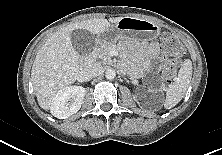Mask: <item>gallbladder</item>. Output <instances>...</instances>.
<instances>
[{
  "instance_id": "bac80fb5",
  "label": "gallbladder",
  "mask_w": 222,
  "mask_h": 155,
  "mask_svg": "<svg viewBox=\"0 0 222 155\" xmlns=\"http://www.w3.org/2000/svg\"><path fill=\"white\" fill-rule=\"evenodd\" d=\"M74 49L81 55L90 54L95 46L94 36L87 30L76 29L71 33Z\"/></svg>"
}]
</instances>
